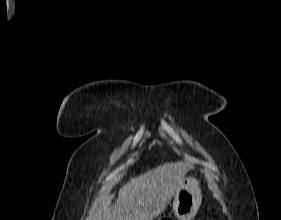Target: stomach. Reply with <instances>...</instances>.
Returning <instances> with one entry per match:
<instances>
[{
	"instance_id": "0dacf381",
	"label": "stomach",
	"mask_w": 281,
	"mask_h": 220,
	"mask_svg": "<svg viewBox=\"0 0 281 220\" xmlns=\"http://www.w3.org/2000/svg\"><path fill=\"white\" fill-rule=\"evenodd\" d=\"M202 202L199 182L194 177H185L173 198V212L178 220H191Z\"/></svg>"
}]
</instances>
